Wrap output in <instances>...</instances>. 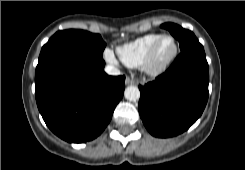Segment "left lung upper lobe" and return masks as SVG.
I'll list each match as a JSON object with an SVG mask.
<instances>
[{"label": "left lung upper lobe", "mask_w": 245, "mask_h": 170, "mask_svg": "<svg viewBox=\"0 0 245 170\" xmlns=\"http://www.w3.org/2000/svg\"><path fill=\"white\" fill-rule=\"evenodd\" d=\"M162 28L169 30V32L179 41L180 50L182 52H193L205 55L203 46L199 43L195 35L181 26L173 23H165L161 25Z\"/></svg>", "instance_id": "1"}]
</instances>
